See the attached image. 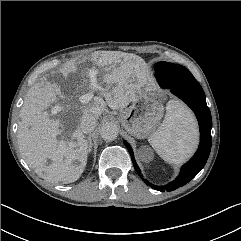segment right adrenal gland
<instances>
[{
    "label": "right adrenal gland",
    "instance_id": "2a0ac1e0",
    "mask_svg": "<svg viewBox=\"0 0 241 241\" xmlns=\"http://www.w3.org/2000/svg\"><path fill=\"white\" fill-rule=\"evenodd\" d=\"M87 141H88V153H90L91 152V150H92V139H91V136H89L88 138H87Z\"/></svg>",
    "mask_w": 241,
    "mask_h": 241
}]
</instances>
